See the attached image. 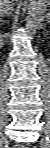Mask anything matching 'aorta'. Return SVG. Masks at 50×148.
<instances>
[{
  "label": "aorta",
  "mask_w": 50,
  "mask_h": 148,
  "mask_svg": "<svg viewBox=\"0 0 50 148\" xmlns=\"http://www.w3.org/2000/svg\"><path fill=\"white\" fill-rule=\"evenodd\" d=\"M46 10V3L44 0H30L28 13L26 17V27L29 31H36L42 21Z\"/></svg>",
  "instance_id": "1"
}]
</instances>
